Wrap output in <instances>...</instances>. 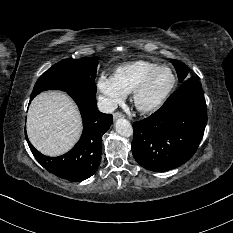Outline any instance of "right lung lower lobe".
<instances>
[{
	"instance_id": "98d812e1",
	"label": "right lung lower lobe",
	"mask_w": 233,
	"mask_h": 233,
	"mask_svg": "<svg viewBox=\"0 0 233 233\" xmlns=\"http://www.w3.org/2000/svg\"><path fill=\"white\" fill-rule=\"evenodd\" d=\"M68 94L77 103L84 123L83 134L73 149L59 157H47L30 144L27 136L26 139L36 160L49 172L80 182L91 177L100 164V141L112 124V115L98 111L95 93L72 91Z\"/></svg>"
}]
</instances>
